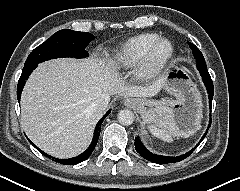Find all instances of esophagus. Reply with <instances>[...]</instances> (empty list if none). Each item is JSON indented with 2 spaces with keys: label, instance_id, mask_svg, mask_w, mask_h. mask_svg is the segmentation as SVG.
<instances>
[{
  "label": "esophagus",
  "instance_id": "34e87169",
  "mask_svg": "<svg viewBox=\"0 0 240 191\" xmlns=\"http://www.w3.org/2000/svg\"><path fill=\"white\" fill-rule=\"evenodd\" d=\"M124 104L126 106L132 107L135 105V100L134 99H126V100H124Z\"/></svg>",
  "mask_w": 240,
  "mask_h": 191
}]
</instances>
